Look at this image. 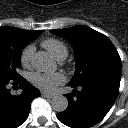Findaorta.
<instances>
[{"label":"aorta","instance_id":"1","mask_svg":"<svg viewBox=\"0 0 128 128\" xmlns=\"http://www.w3.org/2000/svg\"><path fill=\"white\" fill-rule=\"evenodd\" d=\"M33 65L36 70L44 73H52L57 69L55 60L45 51L35 54ZM52 108L57 112H63L68 107V100L63 95H56L52 98Z\"/></svg>","mask_w":128,"mask_h":128}]
</instances>
